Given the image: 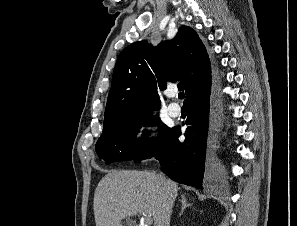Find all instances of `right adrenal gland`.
<instances>
[{
    "label": "right adrenal gland",
    "instance_id": "1",
    "mask_svg": "<svg viewBox=\"0 0 297 226\" xmlns=\"http://www.w3.org/2000/svg\"><path fill=\"white\" fill-rule=\"evenodd\" d=\"M181 203H182V208H181V212L179 214V216H181L184 212V210L187 208V207H190L192 206V204L188 203L187 200H186V197L184 194L181 195Z\"/></svg>",
    "mask_w": 297,
    "mask_h": 226
}]
</instances>
